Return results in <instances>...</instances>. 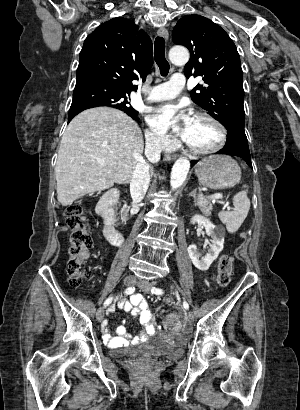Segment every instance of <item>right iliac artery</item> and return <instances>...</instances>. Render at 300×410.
Segmentation results:
<instances>
[{
    "label": "right iliac artery",
    "mask_w": 300,
    "mask_h": 410,
    "mask_svg": "<svg viewBox=\"0 0 300 410\" xmlns=\"http://www.w3.org/2000/svg\"><path fill=\"white\" fill-rule=\"evenodd\" d=\"M134 291H135L134 287H128L124 293L127 295H130L134 293ZM112 300H113V297H109L108 299H106V301L104 302V307H107L112 302Z\"/></svg>",
    "instance_id": "82829eb1"
}]
</instances>
